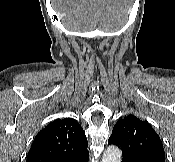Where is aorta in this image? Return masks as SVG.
<instances>
[{"mask_svg":"<svg viewBox=\"0 0 175 162\" xmlns=\"http://www.w3.org/2000/svg\"><path fill=\"white\" fill-rule=\"evenodd\" d=\"M122 153L117 146L110 145L103 153L102 162H121Z\"/></svg>","mask_w":175,"mask_h":162,"instance_id":"762f6f07","label":"aorta"}]
</instances>
